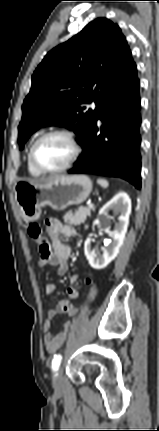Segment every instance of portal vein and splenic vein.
Instances as JSON below:
<instances>
[{
	"label": "portal vein and splenic vein",
	"mask_w": 159,
	"mask_h": 431,
	"mask_svg": "<svg viewBox=\"0 0 159 431\" xmlns=\"http://www.w3.org/2000/svg\"><path fill=\"white\" fill-rule=\"evenodd\" d=\"M94 207V205L92 204V203H90L89 205H88V208H93Z\"/></svg>",
	"instance_id": "18ae733b"
}]
</instances>
